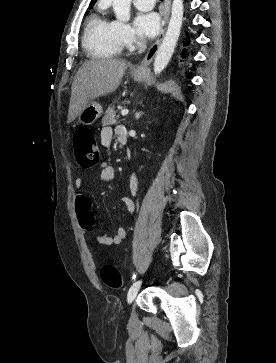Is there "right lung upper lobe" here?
<instances>
[{
    "label": "right lung upper lobe",
    "mask_w": 276,
    "mask_h": 363,
    "mask_svg": "<svg viewBox=\"0 0 276 363\" xmlns=\"http://www.w3.org/2000/svg\"><path fill=\"white\" fill-rule=\"evenodd\" d=\"M96 0H92L90 3V7L93 6L95 4Z\"/></svg>",
    "instance_id": "cb5924a9"
}]
</instances>
